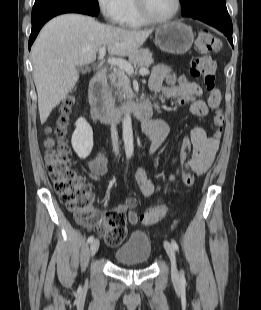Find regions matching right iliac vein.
<instances>
[{"label":"right iliac vein","instance_id":"right-iliac-vein-1","mask_svg":"<svg viewBox=\"0 0 261 310\" xmlns=\"http://www.w3.org/2000/svg\"><path fill=\"white\" fill-rule=\"evenodd\" d=\"M99 249V240L95 239L90 245V256H94Z\"/></svg>","mask_w":261,"mask_h":310}]
</instances>
